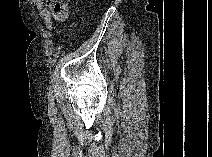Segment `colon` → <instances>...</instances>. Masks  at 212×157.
<instances>
[{
    "instance_id": "1",
    "label": "colon",
    "mask_w": 212,
    "mask_h": 157,
    "mask_svg": "<svg viewBox=\"0 0 212 157\" xmlns=\"http://www.w3.org/2000/svg\"><path fill=\"white\" fill-rule=\"evenodd\" d=\"M48 7L52 17L58 23H64L69 17L68 2L64 0H48Z\"/></svg>"
}]
</instances>
